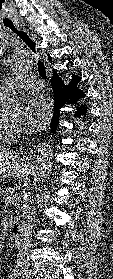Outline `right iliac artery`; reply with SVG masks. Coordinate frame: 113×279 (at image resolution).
<instances>
[{"instance_id": "82829eb1", "label": "right iliac artery", "mask_w": 113, "mask_h": 279, "mask_svg": "<svg viewBox=\"0 0 113 279\" xmlns=\"http://www.w3.org/2000/svg\"><path fill=\"white\" fill-rule=\"evenodd\" d=\"M19 275L18 270H13L10 274V279H15Z\"/></svg>"}]
</instances>
